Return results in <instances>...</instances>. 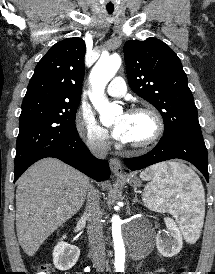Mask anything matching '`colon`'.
I'll return each instance as SVG.
<instances>
[{
  "label": "colon",
  "instance_id": "5ec220e1",
  "mask_svg": "<svg viewBox=\"0 0 215 274\" xmlns=\"http://www.w3.org/2000/svg\"><path fill=\"white\" fill-rule=\"evenodd\" d=\"M39 268L46 273L50 271V267L48 265H41ZM176 272L177 274H186L184 269H178Z\"/></svg>",
  "mask_w": 215,
  "mask_h": 274
}]
</instances>
